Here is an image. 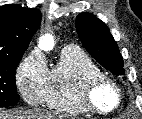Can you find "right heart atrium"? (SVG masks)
<instances>
[{
  "label": "right heart atrium",
  "mask_w": 142,
  "mask_h": 119,
  "mask_svg": "<svg viewBox=\"0 0 142 119\" xmlns=\"http://www.w3.org/2000/svg\"><path fill=\"white\" fill-rule=\"evenodd\" d=\"M47 75L46 60L37 50L27 54L18 65L15 83L20 96L27 104L36 106L43 102Z\"/></svg>",
  "instance_id": "right-heart-atrium-1"
}]
</instances>
